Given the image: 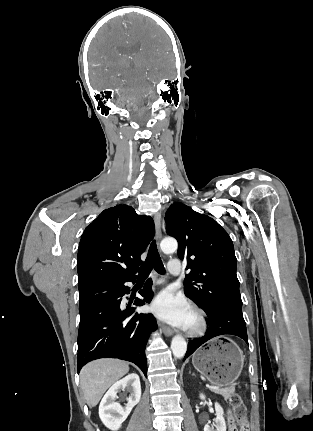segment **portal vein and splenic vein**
Wrapping results in <instances>:
<instances>
[{"instance_id": "1", "label": "portal vein and splenic vein", "mask_w": 313, "mask_h": 431, "mask_svg": "<svg viewBox=\"0 0 313 431\" xmlns=\"http://www.w3.org/2000/svg\"><path fill=\"white\" fill-rule=\"evenodd\" d=\"M206 387H208L209 389H215L216 388V387L210 386V385H206Z\"/></svg>"}]
</instances>
